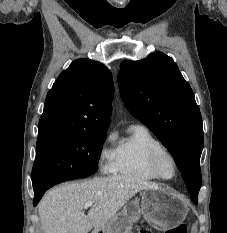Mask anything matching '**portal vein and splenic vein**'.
Returning <instances> with one entry per match:
<instances>
[{
  "label": "portal vein and splenic vein",
  "instance_id": "obj_1",
  "mask_svg": "<svg viewBox=\"0 0 227 233\" xmlns=\"http://www.w3.org/2000/svg\"><path fill=\"white\" fill-rule=\"evenodd\" d=\"M91 206H94V203L92 201H87L84 205V208H88V207H91Z\"/></svg>",
  "mask_w": 227,
  "mask_h": 233
}]
</instances>
